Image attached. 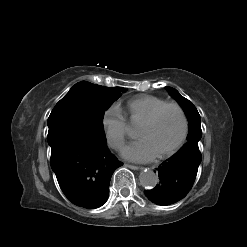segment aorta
<instances>
[{"mask_svg": "<svg viewBox=\"0 0 247 247\" xmlns=\"http://www.w3.org/2000/svg\"><path fill=\"white\" fill-rule=\"evenodd\" d=\"M140 184L145 188H154L159 179L158 176L152 170H144L139 176Z\"/></svg>", "mask_w": 247, "mask_h": 247, "instance_id": "1", "label": "aorta"}]
</instances>
